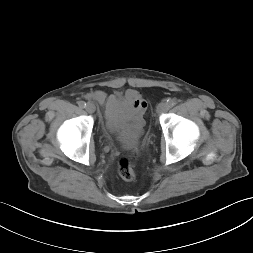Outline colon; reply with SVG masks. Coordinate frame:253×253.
Here are the masks:
<instances>
[{"label": "colon", "mask_w": 253, "mask_h": 253, "mask_svg": "<svg viewBox=\"0 0 253 253\" xmlns=\"http://www.w3.org/2000/svg\"><path fill=\"white\" fill-rule=\"evenodd\" d=\"M118 173L126 181L134 180L136 177L132 161L129 157H123L118 162Z\"/></svg>", "instance_id": "obj_1"}]
</instances>
